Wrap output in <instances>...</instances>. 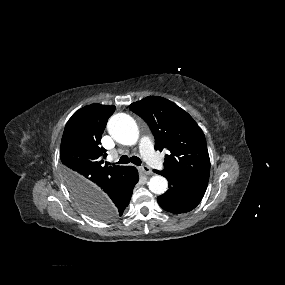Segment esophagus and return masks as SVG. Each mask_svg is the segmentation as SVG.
Masks as SVG:
<instances>
[{
	"instance_id": "obj_1",
	"label": "esophagus",
	"mask_w": 285,
	"mask_h": 285,
	"mask_svg": "<svg viewBox=\"0 0 285 285\" xmlns=\"http://www.w3.org/2000/svg\"><path fill=\"white\" fill-rule=\"evenodd\" d=\"M140 171L145 174V175H150L152 174V170L150 169V167L144 165L140 168Z\"/></svg>"
}]
</instances>
